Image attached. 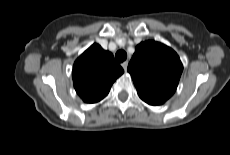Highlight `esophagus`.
<instances>
[{
  "mask_svg": "<svg viewBox=\"0 0 230 155\" xmlns=\"http://www.w3.org/2000/svg\"><path fill=\"white\" fill-rule=\"evenodd\" d=\"M121 66L123 67V69L126 71L127 70V66H128V61H125L121 64Z\"/></svg>",
  "mask_w": 230,
  "mask_h": 155,
  "instance_id": "esophagus-1",
  "label": "esophagus"
}]
</instances>
